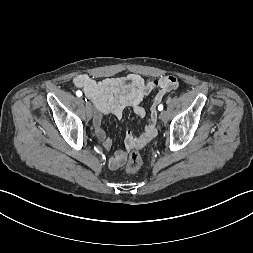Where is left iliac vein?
I'll use <instances>...</instances> for the list:
<instances>
[{"mask_svg":"<svg viewBox=\"0 0 253 253\" xmlns=\"http://www.w3.org/2000/svg\"><path fill=\"white\" fill-rule=\"evenodd\" d=\"M166 118H167V112L166 111H162L160 113V119L164 121V120H166Z\"/></svg>","mask_w":253,"mask_h":253,"instance_id":"1","label":"left iliac vein"}]
</instances>
